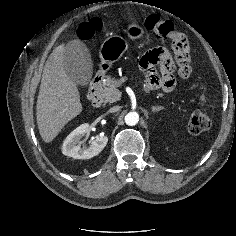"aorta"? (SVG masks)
<instances>
[{
	"label": "aorta",
	"mask_w": 236,
	"mask_h": 236,
	"mask_svg": "<svg viewBox=\"0 0 236 236\" xmlns=\"http://www.w3.org/2000/svg\"><path fill=\"white\" fill-rule=\"evenodd\" d=\"M139 121V115L137 112H129L125 116V123L129 126H134L138 123Z\"/></svg>",
	"instance_id": "762f6f07"
}]
</instances>
